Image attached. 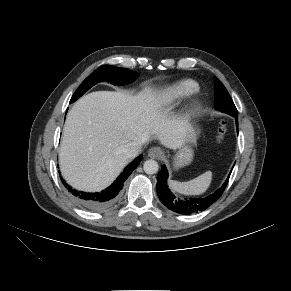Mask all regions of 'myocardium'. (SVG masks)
<instances>
[{
    "label": "myocardium",
    "mask_w": 291,
    "mask_h": 291,
    "mask_svg": "<svg viewBox=\"0 0 291 291\" xmlns=\"http://www.w3.org/2000/svg\"><path fill=\"white\" fill-rule=\"evenodd\" d=\"M199 104L198 99H194L191 103V108H195Z\"/></svg>",
    "instance_id": "obj_1"
}]
</instances>
